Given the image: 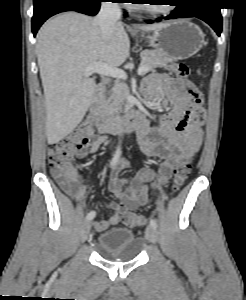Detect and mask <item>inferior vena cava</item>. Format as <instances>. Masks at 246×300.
Masks as SVG:
<instances>
[{"instance_id": "1", "label": "inferior vena cava", "mask_w": 246, "mask_h": 300, "mask_svg": "<svg viewBox=\"0 0 246 300\" xmlns=\"http://www.w3.org/2000/svg\"><path fill=\"white\" fill-rule=\"evenodd\" d=\"M121 18V10L116 2H103L101 9L94 19V23L99 25L104 40H108L114 28V25Z\"/></svg>"}]
</instances>
